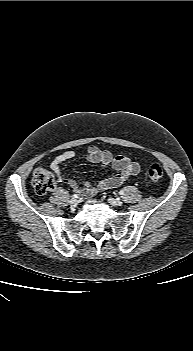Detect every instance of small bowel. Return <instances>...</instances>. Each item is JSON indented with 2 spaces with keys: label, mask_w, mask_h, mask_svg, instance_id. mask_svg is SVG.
<instances>
[{
  "label": "small bowel",
  "mask_w": 193,
  "mask_h": 351,
  "mask_svg": "<svg viewBox=\"0 0 193 351\" xmlns=\"http://www.w3.org/2000/svg\"><path fill=\"white\" fill-rule=\"evenodd\" d=\"M74 156V151H64L53 159L50 168L58 182L68 185L73 191L84 197H91L100 191L116 188L140 171L139 164L132 161L127 155L114 156L108 150H101L96 146H91L87 150L86 159L90 163L99 164L102 167L111 166L117 173L100 180L95 185L90 183L81 185L74 179L66 176L61 168L63 162L72 159Z\"/></svg>",
  "instance_id": "1"
}]
</instances>
